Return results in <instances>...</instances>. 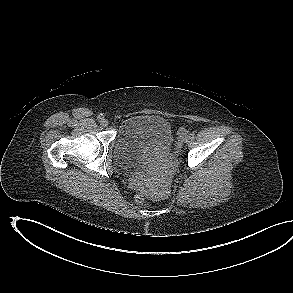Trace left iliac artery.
Wrapping results in <instances>:
<instances>
[{
    "mask_svg": "<svg viewBox=\"0 0 293 293\" xmlns=\"http://www.w3.org/2000/svg\"><path fill=\"white\" fill-rule=\"evenodd\" d=\"M189 135H190V137H194L195 133L191 132Z\"/></svg>",
    "mask_w": 293,
    "mask_h": 293,
    "instance_id": "left-iliac-artery-1",
    "label": "left iliac artery"
}]
</instances>
